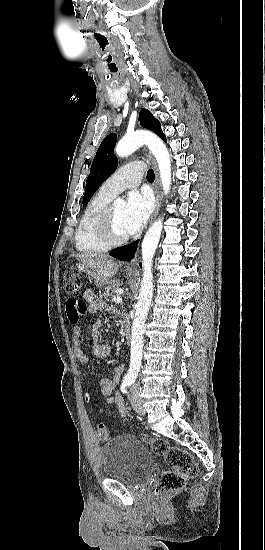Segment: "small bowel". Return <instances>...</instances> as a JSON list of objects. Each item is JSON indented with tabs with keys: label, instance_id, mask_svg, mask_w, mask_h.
Masks as SVG:
<instances>
[{
	"label": "small bowel",
	"instance_id": "obj_1",
	"mask_svg": "<svg viewBox=\"0 0 265 550\" xmlns=\"http://www.w3.org/2000/svg\"><path fill=\"white\" fill-rule=\"evenodd\" d=\"M72 301V300H71ZM69 301V302H71ZM85 307L82 311V314L85 312L95 313L101 309L105 308L104 303L98 298L93 290H86L83 294V300ZM67 304V314L68 317L70 314L76 312V310L69 304ZM100 323L97 321L91 327V338L93 340L92 344V355L94 358L103 359L111 355V347L107 343L100 342L98 340V331ZM81 327L76 324L72 330V343H73V352L77 360L82 364H88L90 358L83 352L80 346V336H81ZM123 366L119 365L115 368L114 372L109 378L101 379L98 382V388L100 389L103 396L106 398L107 403L110 406H114L118 412V417L123 418L126 415V409L124 404V399L122 395L117 392V387L120 382L121 373ZM108 415H112V409L107 411Z\"/></svg>",
	"mask_w": 265,
	"mask_h": 550
}]
</instances>
